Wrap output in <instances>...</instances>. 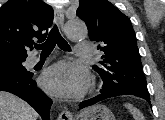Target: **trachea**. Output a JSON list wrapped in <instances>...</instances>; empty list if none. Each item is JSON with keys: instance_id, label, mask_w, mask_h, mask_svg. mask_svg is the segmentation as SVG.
<instances>
[{"instance_id": "1", "label": "trachea", "mask_w": 165, "mask_h": 120, "mask_svg": "<svg viewBox=\"0 0 165 120\" xmlns=\"http://www.w3.org/2000/svg\"><path fill=\"white\" fill-rule=\"evenodd\" d=\"M56 44L63 51H71V47L69 46L67 41H65V39L61 36L58 27L55 25L51 29L47 40L42 44H36L35 48L41 50V54H50Z\"/></svg>"}]
</instances>
